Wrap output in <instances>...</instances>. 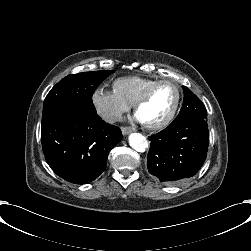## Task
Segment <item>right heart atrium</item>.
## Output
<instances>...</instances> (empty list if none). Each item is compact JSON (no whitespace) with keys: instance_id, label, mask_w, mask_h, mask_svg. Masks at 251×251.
Masks as SVG:
<instances>
[{"instance_id":"1","label":"right heart atrium","mask_w":251,"mask_h":251,"mask_svg":"<svg viewBox=\"0 0 251 251\" xmlns=\"http://www.w3.org/2000/svg\"><path fill=\"white\" fill-rule=\"evenodd\" d=\"M90 100L97 115L109 124L119 121L123 113L132 107L123 101L114 90L105 88L93 90Z\"/></svg>"}]
</instances>
